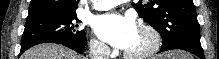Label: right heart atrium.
<instances>
[{"mask_svg": "<svg viewBox=\"0 0 219 59\" xmlns=\"http://www.w3.org/2000/svg\"><path fill=\"white\" fill-rule=\"evenodd\" d=\"M90 47L94 56L104 57L108 54L107 46L99 39H92Z\"/></svg>", "mask_w": 219, "mask_h": 59, "instance_id": "1", "label": "right heart atrium"}]
</instances>
